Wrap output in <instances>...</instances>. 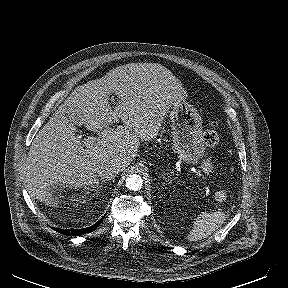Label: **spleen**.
I'll return each mask as SVG.
<instances>
[{
    "instance_id": "spleen-1",
    "label": "spleen",
    "mask_w": 288,
    "mask_h": 288,
    "mask_svg": "<svg viewBox=\"0 0 288 288\" xmlns=\"http://www.w3.org/2000/svg\"><path fill=\"white\" fill-rule=\"evenodd\" d=\"M225 218V214L220 211L211 213L202 212L195 219L192 229L187 235L186 239L189 242H194L207 238L221 226V224L225 221Z\"/></svg>"
}]
</instances>
